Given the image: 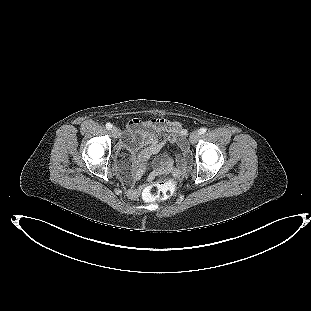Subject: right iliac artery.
Returning a JSON list of instances; mask_svg holds the SVG:
<instances>
[{
  "label": "right iliac artery",
  "mask_w": 311,
  "mask_h": 311,
  "mask_svg": "<svg viewBox=\"0 0 311 311\" xmlns=\"http://www.w3.org/2000/svg\"><path fill=\"white\" fill-rule=\"evenodd\" d=\"M106 128L109 130V129H111L112 128V124L111 123H107L106 124Z\"/></svg>",
  "instance_id": "right-iliac-artery-1"
}]
</instances>
